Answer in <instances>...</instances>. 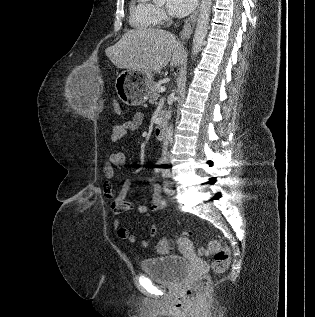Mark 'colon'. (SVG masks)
Masks as SVG:
<instances>
[{"mask_svg": "<svg viewBox=\"0 0 315 317\" xmlns=\"http://www.w3.org/2000/svg\"><path fill=\"white\" fill-rule=\"evenodd\" d=\"M115 111L121 113V107L118 103L114 105ZM173 246L167 238H162L157 244V250L160 253H169ZM202 255L212 256L211 270L215 274L224 273L229 265L230 251L228 247L217 239L210 240L206 246L199 249ZM210 284V276L202 275L194 279L186 289V297L195 301L199 299L202 294L207 290Z\"/></svg>", "mask_w": 315, "mask_h": 317, "instance_id": "obj_1", "label": "colon"}]
</instances>
